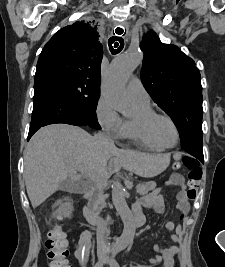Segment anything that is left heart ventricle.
<instances>
[{
    "instance_id": "obj_1",
    "label": "left heart ventricle",
    "mask_w": 225,
    "mask_h": 267,
    "mask_svg": "<svg viewBox=\"0 0 225 267\" xmlns=\"http://www.w3.org/2000/svg\"><path fill=\"white\" fill-rule=\"evenodd\" d=\"M155 133L158 141L162 145L171 146L176 142L175 129L173 125L165 119H160L156 122Z\"/></svg>"
}]
</instances>
